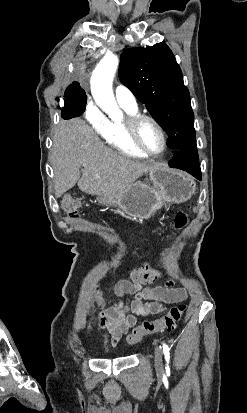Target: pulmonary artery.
I'll list each match as a JSON object with an SVG mask.
<instances>
[{"mask_svg": "<svg viewBox=\"0 0 247 413\" xmlns=\"http://www.w3.org/2000/svg\"><path fill=\"white\" fill-rule=\"evenodd\" d=\"M115 95L117 101L129 108H135L137 106V100L133 91L124 84H117L115 87Z\"/></svg>", "mask_w": 247, "mask_h": 413, "instance_id": "1", "label": "pulmonary artery"}]
</instances>
